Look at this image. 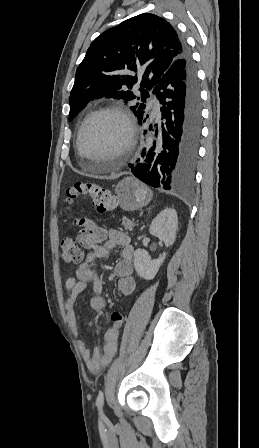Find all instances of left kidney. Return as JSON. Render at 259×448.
I'll use <instances>...</instances> for the list:
<instances>
[{
    "instance_id": "1",
    "label": "left kidney",
    "mask_w": 259,
    "mask_h": 448,
    "mask_svg": "<svg viewBox=\"0 0 259 448\" xmlns=\"http://www.w3.org/2000/svg\"><path fill=\"white\" fill-rule=\"evenodd\" d=\"M178 230V218L176 210L173 208H165L162 210L156 218H154L149 232L152 236L159 238L161 242H164L166 248L173 246L176 238V232ZM165 252L162 254V258L157 260H151L146 250H135L134 252V268L144 280H153L155 278L162 262L165 260Z\"/></svg>"
}]
</instances>
